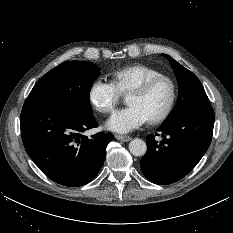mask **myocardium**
Returning a JSON list of instances; mask_svg holds the SVG:
<instances>
[{"mask_svg":"<svg viewBox=\"0 0 233 233\" xmlns=\"http://www.w3.org/2000/svg\"><path fill=\"white\" fill-rule=\"evenodd\" d=\"M163 81L167 82L170 86V98L164 110L159 115L148 120L151 124L162 123L171 114L177 98V86L175 81L170 76L161 74L145 80L144 82L131 89L129 92V94H145L156 84Z\"/></svg>","mask_w":233,"mask_h":233,"instance_id":"f54148a6","label":"myocardium"}]
</instances>
